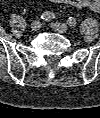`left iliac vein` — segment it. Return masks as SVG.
Here are the masks:
<instances>
[{
	"instance_id": "left-iliac-vein-1",
	"label": "left iliac vein",
	"mask_w": 100,
	"mask_h": 118,
	"mask_svg": "<svg viewBox=\"0 0 100 118\" xmlns=\"http://www.w3.org/2000/svg\"><path fill=\"white\" fill-rule=\"evenodd\" d=\"M52 27L54 30H56L59 33H66L68 31L67 25L59 22L52 23Z\"/></svg>"
}]
</instances>
